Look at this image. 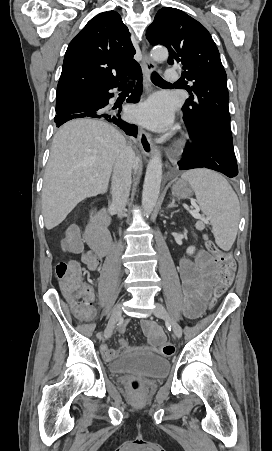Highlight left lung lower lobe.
<instances>
[{"label": "left lung lower lobe", "mask_w": 272, "mask_h": 451, "mask_svg": "<svg viewBox=\"0 0 272 451\" xmlns=\"http://www.w3.org/2000/svg\"><path fill=\"white\" fill-rule=\"evenodd\" d=\"M189 136L192 143L185 147L179 169L209 168L230 178L238 174L232 138L215 129Z\"/></svg>", "instance_id": "0a47b994"}]
</instances>
